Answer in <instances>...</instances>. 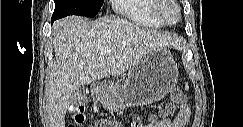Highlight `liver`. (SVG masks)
<instances>
[{"instance_id": "1", "label": "liver", "mask_w": 243, "mask_h": 127, "mask_svg": "<svg viewBox=\"0 0 243 127\" xmlns=\"http://www.w3.org/2000/svg\"><path fill=\"white\" fill-rule=\"evenodd\" d=\"M53 45L55 60L46 101L50 127H65V114L75 90L126 72L155 49H181L185 42L176 34L141 28L122 18L90 21L69 16L53 24ZM105 49L111 54H101Z\"/></svg>"}]
</instances>
